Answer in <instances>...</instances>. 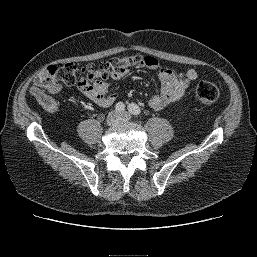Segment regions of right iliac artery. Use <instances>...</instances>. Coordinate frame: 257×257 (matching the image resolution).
<instances>
[{
    "label": "right iliac artery",
    "instance_id": "obj_1",
    "mask_svg": "<svg viewBox=\"0 0 257 257\" xmlns=\"http://www.w3.org/2000/svg\"><path fill=\"white\" fill-rule=\"evenodd\" d=\"M115 109L119 112H122L125 109V105L122 102H119L116 104Z\"/></svg>",
    "mask_w": 257,
    "mask_h": 257
}]
</instances>
